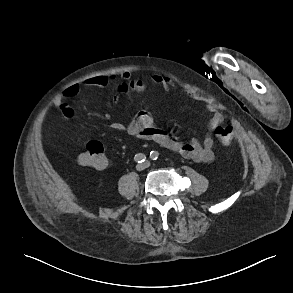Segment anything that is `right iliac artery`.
Instances as JSON below:
<instances>
[{
	"label": "right iliac artery",
	"instance_id": "82829eb1",
	"mask_svg": "<svg viewBox=\"0 0 293 293\" xmlns=\"http://www.w3.org/2000/svg\"><path fill=\"white\" fill-rule=\"evenodd\" d=\"M145 159H146V156H145L144 154H142V153H138V154H136L135 157H134V160H135L136 162H138V163H142V162H144Z\"/></svg>",
	"mask_w": 293,
	"mask_h": 293
}]
</instances>
